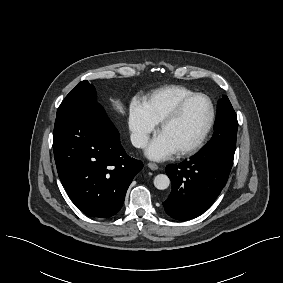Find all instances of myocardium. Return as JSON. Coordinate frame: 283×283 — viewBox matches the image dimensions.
Returning a JSON list of instances; mask_svg holds the SVG:
<instances>
[{
  "label": "myocardium",
  "instance_id": "1",
  "mask_svg": "<svg viewBox=\"0 0 283 283\" xmlns=\"http://www.w3.org/2000/svg\"><path fill=\"white\" fill-rule=\"evenodd\" d=\"M198 98H205L209 101L210 104V118H209V122L204 130V132L202 133L201 137L191 146L182 149L180 151H177L176 154L180 157L183 156H190L195 154L197 151H199L202 146L205 144L207 138L209 137L211 130L214 126L215 123V117H216V108H215V104L213 102V100L211 99V97H209L208 95L204 94V93H195L191 96L186 97L185 99H183L173 110L172 112L167 115L161 122L159 125V129L158 132H162L166 127H168L170 124H172L173 122H175L183 113V111L185 110V108L188 106V104H190L192 101H194L195 99Z\"/></svg>",
  "mask_w": 283,
  "mask_h": 283
}]
</instances>
